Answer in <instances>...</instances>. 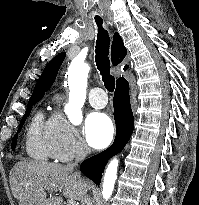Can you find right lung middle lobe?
I'll return each mask as SVG.
<instances>
[{
    "label": "right lung middle lobe",
    "instance_id": "right-lung-middle-lobe-1",
    "mask_svg": "<svg viewBox=\"0 0 199 205\" xmlns=\"http://www.w3.org/2000/svg\"><path fill=\"white\" fill-rule=\"evenodd\" d=\"M38 101H39V99L28 102L26 112H25L24 116L22 117L20 125H19V128H18V131H17V133L15 134V136H14V138L12 140V145H11L12 150H14L15 147H16L17 135L21 131V128H22L26 118L29 116V114L31 112V109H32V106L34 104H36Z\"/></svg>",
    "mask_w": 199,
    "mask_h": 205
}]
</instances>
